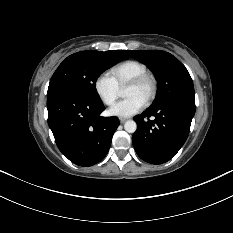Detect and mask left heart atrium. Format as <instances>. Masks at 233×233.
<instances>
[{
  "instance_id": "obj_1",
  "label": "left heart atrium",
  "mask_w": 233,
  "mask_h": 233,
  "mask_svg": "<svg viewBox=\"0 0 233 233\" xmlns=\"http://www.w3.org/2000/svg\"><path fill=\"white\" fill-rule=\"evenodd\" d=\"M145 101L138 96H129L117 102L109 109V114L117 117H130L140 112Z\"/></svg>"
}]
</instances>
